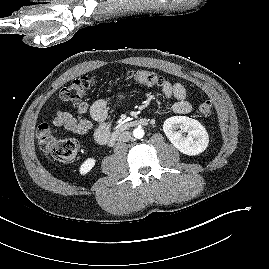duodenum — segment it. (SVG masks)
<instances>
[{
  "instance_id": "410a0bca",
  "label": "duodenum",
  "mask_w": 269,
  "mask_h": 269,
  "mask_svg": "<svg viewBox=\"0 0 269 269\" xmlns=\"http://www.w3.org/2000/svg\"><path fill=\"white\" fill-rule=\"evenodd\" d=\"M148 124V120L146 118H137L133 119L131 121L124 122L120 124L116 130H114L111 134H109L107 142L109 145H112L116 142L118 139L119 135L133 127H138V126H146Z\"/></svg>"
}]
</instances>
